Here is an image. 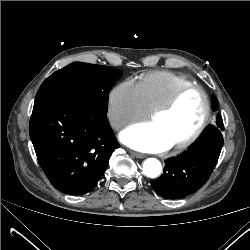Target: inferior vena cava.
Segmentation results:
<instances>
[{
	"instance_id": "602c4592",
	"label": "inferior vena cava",
	"mask_w": 250,
	"mask_h": 250,
	"mask_svg": "<svg viewBox=\"0 0 250 250\" xmlns=\"http://www.w3.org/2000/svg\"><path fill=\"white\" fill-rule=\"evenodd\" d=\"M124 125V122L122 121H117L113 124L115 128H121Z\"/></svg>"
}]
</instances>
